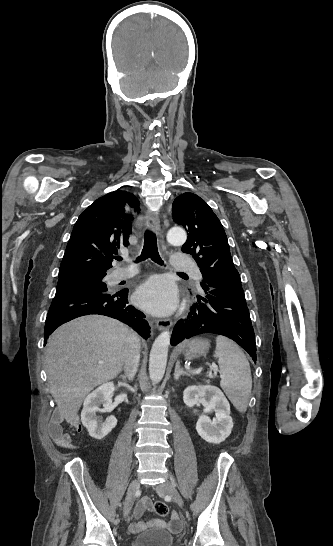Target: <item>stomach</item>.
Masks as SVG:
<instances>
[{"label": "stomach", "instance_id": "0dacf381", "mask_svg": "<svg viewBox=\"0 0 333 546\" xmlns=\"http://www.w3.org/2000/svg\"><path fill=\"white\" fill-rule=\"evenodd\" d=\"M209 348V342L205 339L194 338L181 347V351L187 358L205 355Z\"/></svg>", "mask_w": 333, "mask_h": 546}]
</instances>
